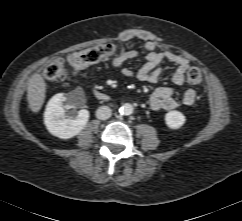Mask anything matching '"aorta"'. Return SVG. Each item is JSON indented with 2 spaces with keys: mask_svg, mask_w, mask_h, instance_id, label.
Wrapping results in <instances>:
<instances>
[{
  "mask_svg": "<svg viewBox=\"0 0 242 221\" xmlns=\"http://www.w3.org/2000/svg\"><path fill=\"white\" fill-rule=\"evenodd\" d=\"M133 106L130 103H125L119 108V113L121 115H130L133 113Z\"/></svg>",
  "mask_w": 242,
  "mask_h": 221,
  "instance_id": "762f6f07",
  "label": "aorta"
}]
</instances>
